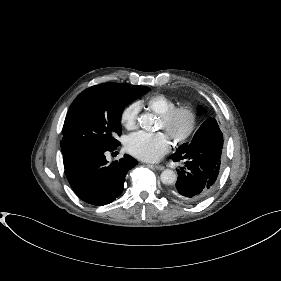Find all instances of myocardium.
I'll use <instances>...</instances> for the list:
<instances>
[{"instance_id":"1","label":"myocardium","mask_w":281,"mask_h":281,"mask_svg":"<svg viewBox=\"0 0 281 281\" xmlns=\"http://www.w3.org/2000/svg\"><path fill=\"white\" fill-rule=\"evenodd\" d=\"M179 116L186 117L187 126L181 133L171 136L173 143L176 145L185 143L193 135L197 126L196 111L192 106L188 104L175 106L170 111L161 115L160 120L163 123L165 129L168 130L172 122Z\"/></svg>"}]
</instances>
